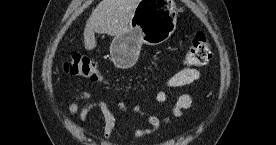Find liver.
<instances>
[{"label": "liver", "instance_id": "6515ba94", "mask_svg": "<svg viewBox=\"0 0 276 145\" xmlns=\"http://www.w3.org/2000/svg\"><path fill=\"white\" fill-rule=\"evenodd\" d=\"M139 0H102L91 13L84 29L87 50L96 47L95 32L116 36L121 34L132 17Z\"/></svg>", "mask_w": 276, "mask_h": 145}]
</instances>
